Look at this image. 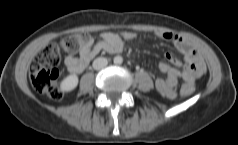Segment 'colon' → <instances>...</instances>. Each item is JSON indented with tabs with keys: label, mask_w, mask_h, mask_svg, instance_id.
Listing matches in <instances>:
<instances>
[{
	"label": "colon",
	"mask_w": 238,
	"mask_h": 145,
	"mask_svg": "<svg viewBox=\"0 0 238 145\" xmlns=\"http://www.w3.org/2000/svg\"><path fill=\"white\" fill-rule=\"evenodd\" d=\"M87 35L75 34L63 38L58 44L51 43L43 48L36 56L31 66L29 78L33 88L54 100L62 98L63 93L58 86L59 73L57 65L61 60V50L74 53L80 50L87 39ZM193 87L183 85L180 96L187 97L193 93Z\"/></svg>",
	"instance_id": "1"
}]
</instances>
